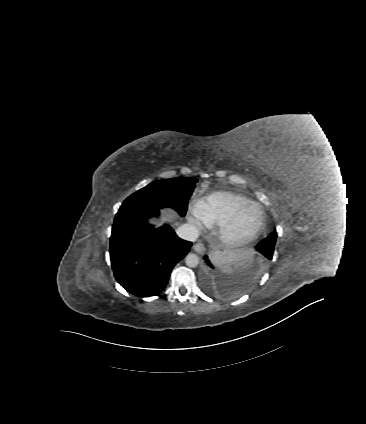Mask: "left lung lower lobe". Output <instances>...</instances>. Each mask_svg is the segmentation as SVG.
I'll list each match as a JSON object with an SVG mask.
<instances>
[{"instance_id":"0a47b994","label":"left lung lower lobe","mask_w":366,"mask_h":424,"mask_svg":"<svg viewBox=\"0 0 366 424\" xmlns=\"http://www.w3.org/2000/svg\"><path fill=\"white\" fill-rule=\"evenodd\" d=\"M204 260H205V267H206V265L207 266H209V267H212L213 268V266H212V264L210 263V261H209V259H208V256L206 255V256H204Z\"/></svg>"}]
</instances>
